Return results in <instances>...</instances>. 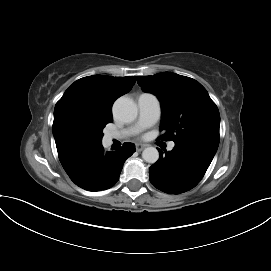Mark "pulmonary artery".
<instances>
[{"mask_svg":"<svg viewBox=\"0 0 271 271\" xmlns=\"http://www.w3.org/2000/svg\"><path fill=\"white\" fill-rule=\"evenodd\" d=\"M139 108V117L135 125L122 129L117 132H111L107 134L109 141L114 139H122L127 136L133 135L140 129L149 127L157 122L160 117V102L158 98L151 93H142L137 99ZM175 146L174 142H170L168 149L172 150Z\"/></svg>","mask_w":271,"mask_h":271,"instance_id":"1","label":"pulmonary artery"}]
</instances>
